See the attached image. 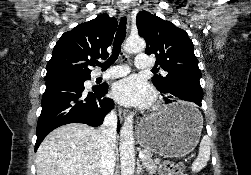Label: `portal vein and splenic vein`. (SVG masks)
I'll use <instances>...</instances> for the list:
<instances>
[{"label":"portal vein and splenic vein","mask_w":251,"mask_h":175,"mask_svg":"<svg viewBox=\"0 0 251 175\" xmlns=\"http://www.w3.org/2000/svg\"><path fill=\"white\" fill-rule=\"evenodd\" d=\"M140 160H143L145 157V153H142V151H140L139 155H138ZM84 175H87V173H84Z\"/></svg>","instance_id":"1"}]
</instances>
